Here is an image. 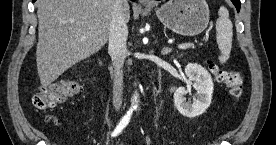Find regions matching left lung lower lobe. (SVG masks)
<instances>
[{
    "instance_id": "left-lung-lower-lobe-1",
    "label": "left lung lower lobe",
    "mask_w": 276,
    "mask_h": 145,
    "mask_svg": "<svg viewBox=\"0 0 276 145\" xmlns=\"http://www.w3.org/2000/svg\"><path fill=\"white\" fill-rule=\"evenodd\" d=\"M233 4L235 5L237 11L239 12L240 10V0H231Z\"/></svg>"
}]
</instances>
